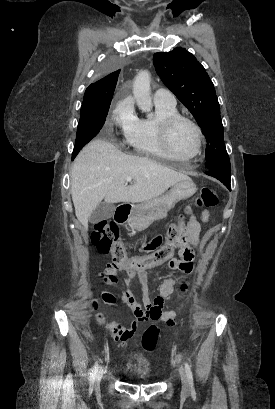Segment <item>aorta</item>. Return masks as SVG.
Instances as JSON below:
<instances>
[{
	"label": "aorta",
	"instance_id": "762f6f07",
	"mask_svg": "<svg viewBox=\"0 0 275 409\" xmlns=\"http://www.w3.org/2000/svg\"><path fill=\"white\" fill-rule=\"evenodd\" d=\"M150 72L141 70L134 78L133 94L135 100L142 112H150L152 110ZM154 114H148V118H153Z\"/></svg>",
	"mask_w": 275,
	"mask_h": 409
}]
</instances>
